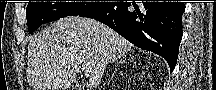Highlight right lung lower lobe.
<instances>
[{
	"label": "right lung lower lobe",
	"instance_id": "1",
	"mask_svg": "<svg viewBox=\"0 0 216 90\" xmlns=\"http://www.w3.org/2000/svg\"><path fill=\"white\" fill-rule=\"evenodd\" d=\"M182 2H108L79 16L111 27L137 47L166 59L174 70L182 39Z\"/></svg>",
	"mask_w": 216,
	"mask_h": 90
}]
</instances>
